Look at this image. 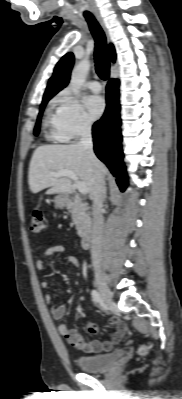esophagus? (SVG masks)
Instances as JSON below:
<instances>
[{
    "label": "esophagus",
    "mask_w": 182,
    "mask_h": 399,
    "mask_svg": "<svg viewBox=\"0 0 182 399\" xmlns=\"http://www.w3.org/2000/svg\"><path fill=\"white\" fill-rule=\"evenodd\" d=\"M96 17L99 20V22L101 23V25L104 27L101 17L98 14L96 15Z\"/></svg>",
    "instance_id": "1"
}]
</instances>
